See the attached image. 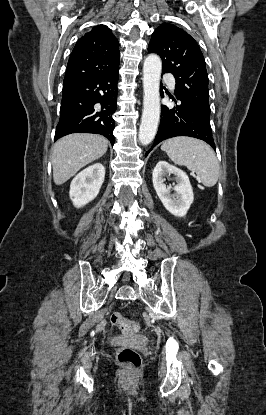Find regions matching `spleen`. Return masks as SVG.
Masks as SVG:
<instances>
[{"label": "spleen", "instance_id": "obj_1", "mask_svg": "<svg viewBox=\"0 0 266 415\" xmlns=\"http://www.w3.org/2000/svg\"><path fill=\"white\" fill-rule=\"evenodd\" d=\"M161 150L177 165L186 166L205 187H213L220 175V166L213 149L198 139L175 137L163 143Z\"/></svg>", "mask_w": 266, "mask_h": 415}]
</instances>
